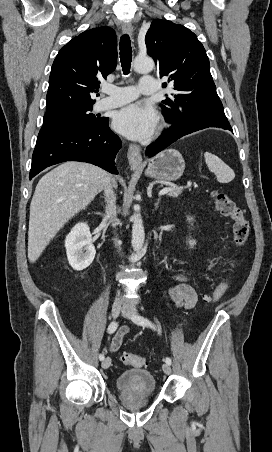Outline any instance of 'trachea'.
<instances>
[{
    "mask_svg": "<svg viewBox=\"0 0 272 452\" xmlns=\"http://www.w3.org/2000/svg\"><path fill=\"white\" fill-rule=\"evenodd\" d=\"M132 60V48L130 37L127 34L122 35L120 39V61L123 73L127 75L130 71Z\"/></svg>",
    "mask_w": 272,
    "mask_h": 452,
    "instance_id": "1",
    "label": "trachea"
}]
</instances>
